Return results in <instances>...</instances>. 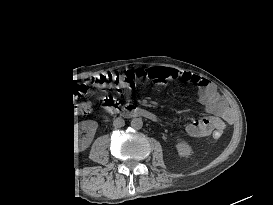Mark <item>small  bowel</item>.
I'll return each mask as SVG.
<instances>
[{
	"mask_svg": "<svg viewBox=\"0 0 273 205\" xmlns=\"http://www.w3.org/2000/svg\"><path fill=\"white\" fill-rule=\"evenodd\" d=\"M155 76V77H153ZM163 77L166 81L181 78L199 86L200 99L204 102L208 116L191 121L185 125L186 132L193 137H206L215 131H221L232 121L233 115L227 103L221 97L211 81L194 73L180 71L174 68L154 67L147 70V78ZM165 81V82H166ZM156 87L163 86V82L155 83Z\"/></svg>",
	"mask_w": 273,
	"mask_h": 205,
	"instance_id": "1",
	"label": "small bowel"
}]
</instances>
